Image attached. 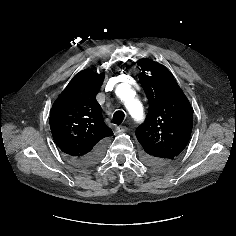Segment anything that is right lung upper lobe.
I'll use <instances>...</instances> for the list:
<instances>
[{"label":"right lung upper lobe","mask_w":236,"mask_h":236,"mask_svg":"<svg viewBox=\"0 0 236 236\" xmlns=\"http://www.w3.org/2000/svg\"><path fill=\"white\" fill-rule=\"evenodd\" d=\"M103 81L104 73L83 70L70 81L52 106V136L67 156H83L113 135L104 123L101 106L95 98Z\"/></svg>","instance_id":"cb5924a9"}]
</instances>
